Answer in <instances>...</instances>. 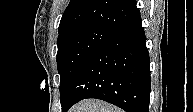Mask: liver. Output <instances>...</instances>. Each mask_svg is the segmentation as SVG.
<instances>
[{
  "mask_svg": "<svg viewBox=\"0 0 193 112\" xmlns=\"http://www.w3.org/2000/svg\"><path fill=\"white\" fill-rule=\"evenodd\" d=\"M70 112H122V110L101 100L86 99L72 107Z\"/></svg>",
  "mask_w": 193,
  "mask_h": 112,
  "instance_id": "liver-1",
  "label": "liver"
}]
</instances>
